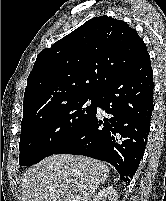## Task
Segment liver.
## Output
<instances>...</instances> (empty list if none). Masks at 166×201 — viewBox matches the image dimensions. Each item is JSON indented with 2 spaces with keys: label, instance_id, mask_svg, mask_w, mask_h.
<instances>
[{
  "label": "liver",
  "instance_id": "liver-1",
  "mask_svg": "<svg viewBox=\"0 0 166 201\" xmlns=\"http://www.w3.org/2000/svg\"><path fill=\"white\" fill-rule=\"evenodd\" d=\"M109 171L92 158L52 155L23 174L22 201H90Z\"/></svg>",
  "mask_w": 166,
  "mask_h": 201
}]
</instances>
